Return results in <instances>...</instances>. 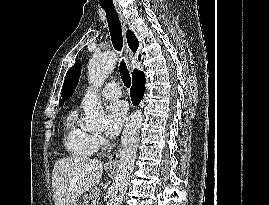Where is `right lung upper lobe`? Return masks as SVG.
Masks as SVG:
<instances>
[{
    "instance_id": "1",
    "label": "right lung upper lobe",
    "mask_w": 269,
    "mask_h": 205,
    "mask_svg": "<svg viewBox=\"0 0 269 205\" xmlns=\"http://www.w3.org/2000/svg\"><path fill=\"white\" fill-rule=\"evenodd\" d=\"M127 41H128V45H129L130 49L133 52H136V50L138 49V46H139V42H138L137 38L135 37V35L133 34V32L130 30L127 31ZM139 59H140V56H139ZM137 71H139V70L135 69L133 71V73H135Z\"/></svg>"
}]
</instances>
